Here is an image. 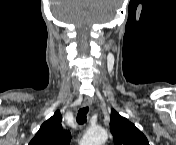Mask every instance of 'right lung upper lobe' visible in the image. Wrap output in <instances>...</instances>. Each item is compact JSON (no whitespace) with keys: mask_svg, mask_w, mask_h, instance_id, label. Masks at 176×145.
I'll return each mask as SVG.
<instances>
[{"mask_svg":"<svg viewBox=\"0 0 176 145\" xmlns=\"http://www.w3.org/2000/svg\"><path fill=\"white\" fill-rule=\"evenodd\" d=\"M62 116L57 110L54 115L45 121L29 145H69L71 134L64 131L61 125Z\"/></svg>","mask_w":176,"mask_h":145,"instance_id":"right-lung-upper-lobe-1","label":"right lung upper lobe"}]
</instances>
